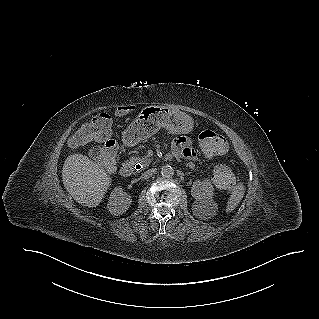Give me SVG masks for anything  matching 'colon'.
I'll return each mask as SVG.
<instances>
[{
	"label": "colon",
	"mask_w": 319,
	"mask_h": 319,
	"mask_svg": "<svg viewBox=\"0 0 319 319\" xmlns=\"http://www.w3.org/2000/svg\"><path fill=\"white\" fill-rule=\"evenodd\" d=\"M88 141H98L100 146L93 149L91 157L99 161L106 169H112L116 163V146L111 139V131L107 114H99L80 128L71 138L73 148L80 147ZM199 142L204 155L213 158L223 153L226 143L223 137L215 131L205 130L199 135ZM214 179L222 187L231 189L235 184L233 173L225 166L214 169Z\"/></svg>",
	"instance_id": "colon-1"
}]
</instances>
